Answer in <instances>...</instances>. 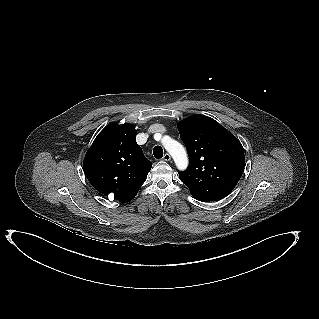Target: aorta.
<instances>
[{
  "instance_id": "aorta-1",
  "label": "aorta",
  "mask_w": 319,
  "mask_h": 319,
  "mask_svg": "<svg viewBox=\"0 0 319 319\" xmlns=\"http://www.w3.org/2000/svg\"><path fill=\"white\" fill-rule=\"evenodd\" d=\"M162 144L172 156L177 169L180 171L186 170L188 167V156L183 145L168 136L162 139Z\"/></svg>"
}]
</instances>
